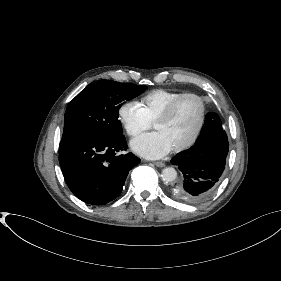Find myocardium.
Wrapping results in <instances>:
<instances>
[{
  "instance_id": "obj_1",
  "label": "myocardium",
  "mask_w": 281,
  "mask_h": 281,
  "mask_svg": "<svg viewBox=\"0 0 281 281\" xmlns=\"http://www.w3.org/2000/svg\"><path fill=\"white\" fill-rule=\"evenodd\" d=\"M188 98H194L196 100H198L199 104H200V117H199V122L197 124V127L194 131V133L192 134V136L183 144L172 148V150L174 152H182L184 150H187L188 148H190L192 145H194V143L197 141L198 137L201 134V131L203 129L204 123H205V117H206V105H205V101L204 99L195 93H184L183 95L179 96L178 98L174 99L173 101H171L154 119L153 121V126L159 122V121H163L165 119H167L172 112L175 110V108L185 99Z\"/></svg>"
}]
</instances>
